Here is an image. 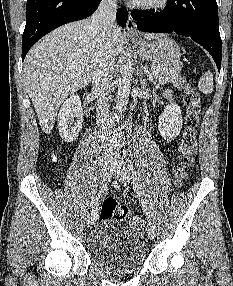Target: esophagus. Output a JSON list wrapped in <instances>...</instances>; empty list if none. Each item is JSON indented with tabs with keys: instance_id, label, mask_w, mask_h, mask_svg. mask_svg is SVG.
Instances as JSON below:
<instances>
[{
	"instance_id": "obj_1",
	"label": "esophagus",
	"mask_w": 233,
	"mask_h": 286,
	"mask_svg": "<svg viewBox=\"0 0 233 286\" xmlns=\"http://www.w3.org/2000/svg\"><path fill=\"white\" fill-rule=\"evenodd\" d=\"M125 30H126V34L131 36V37H136L137 36V30H136V25L135 22L129 12V16L127 18V22L125 25Z\"/></svg>"
}]
</instances>
